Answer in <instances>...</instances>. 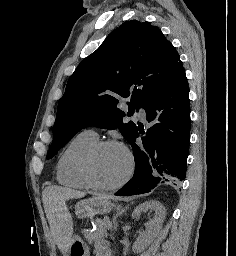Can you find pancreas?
Wrapping results in <instances>:
<instances>
[{"instance_id":"pancreas-1","label":"pancreas","mask_w":236,"mask_h":256,"mask_svg":"<svg viewBox=\"0 0 236 256\" xmlns=\"http://www.w3.org/2000/svg\"><path fill=\"white\" fill-rule=\"evenodd\" d=\"M108 224H110L108 218H104V220H97V222H92V227H97V230H95V232H87L88 228L83 230V234L87 242H89V244H91V242L100 243V238H106L107 230H111Z\"/></svg>"}]
</instances>
